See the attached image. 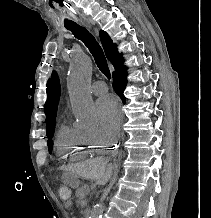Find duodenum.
I'll return each mask as SVG.
<instances>
[{"label":"duodenum","mask_w":211,"mask_h":218,"mask_svg":"<svg viewBox=\"0 0 211 218\" xmlns=\"http://www.w3.org/2000/svg\"><path fill=\"white\" fill-rule=\"evenodd\" d=\"M91 215V210L90 209H85L84 210V217L85 218H90Z\"/></svg>","instance_id":"obj_1"}]
</instances>
